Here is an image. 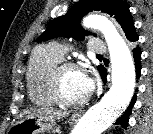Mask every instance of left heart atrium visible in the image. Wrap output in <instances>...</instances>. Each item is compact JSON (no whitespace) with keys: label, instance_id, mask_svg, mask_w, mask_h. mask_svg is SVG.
I'll return each instance as SVG.
<instances>
[{"label":"left heart atrium","instance_id":"obj_1","mask_svg":"<svg viewBox=\"0 0 153 134\" xmlns=\"http://www.w3.org/2000/svg\"><path fill=\"white\" fill-rule=\"evenodd\" d=\"M93 89V82L88 76L85 77V93L88 96Z\"/></svg>","mask_w":153,"mask_h":134}]
</instances>
